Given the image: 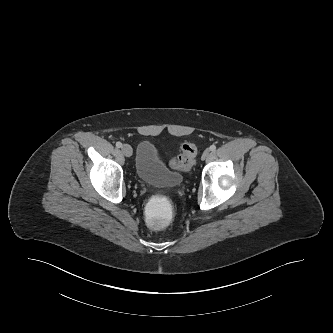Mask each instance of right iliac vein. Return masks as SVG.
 <instances>
[{
    "label": "right iliac vein",
    "mask_w": 333,
    "mask_h": 333,
    "mask_svg": "<svg viewBox=\"0 0 333 333\" xmlns=\"http://www.w3.org/2000/svg\"><path fill=\"white\" fill-rule=\"evenodd\" d=\"M121 150L126 157H130L132 155V148L128 144L123 145Z\"/></svg>",
    "instance_id": "obj_1"
}]
</instances>
